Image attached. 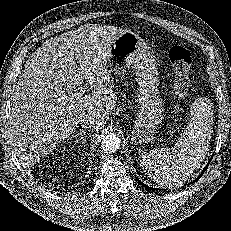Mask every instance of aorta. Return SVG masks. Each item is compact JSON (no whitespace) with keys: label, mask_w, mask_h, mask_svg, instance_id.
Here are the masks:
<instances>
[{"label":"aorta","mask_w":231,"mask_h":231,"mask_svg":"<svg viewBox=\"0 0 231 231\" xmlns=\"http://www.w3.org/2000/svg\"><path fill=\"white\" fill-rule=\"evenodd\" d=\"M121 139L114 133L106 135L101 142L104 153L113 154L120 148Z\"/></svg>","instance_id":"aorta-1"}]
</instances>
